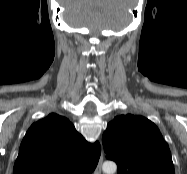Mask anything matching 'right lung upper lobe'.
I'll use <instances>...</instances> for the list:
<instances>
[{"mask_svg":"<svg viewBox=\"0 0 187 174\" xmlns=\"http://www.w3.org/2000/svg\"><path fill=\"white\" fill-rule=\"evenodd\" d=\"M101 148L90 144L65 117L50 114L27 131L13 174H91Z\"/></svg>","mask_w":187,"mask_h":174,"instance_id":"1","label":"right lung upper lobe"}]
</instances>
